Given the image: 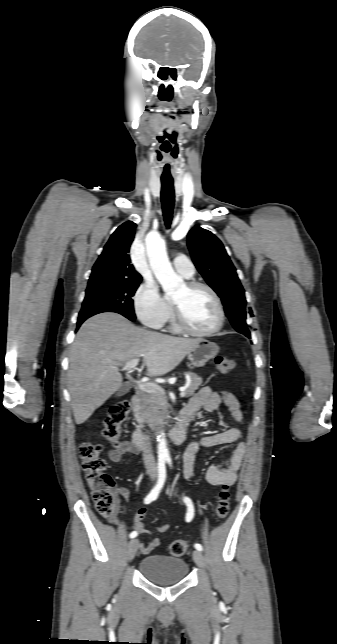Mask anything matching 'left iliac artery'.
<instances>
[{
  "mask_svg": "<svg viewBox=\"0 0 337 644\" xmlns=\"http://www.w3.org/2000/svg\"><path fill=\"white\" fill-rule=\"evenodd\" d=\"M167 462L171 465V460H170V459H167ZM183 500H184V502H185V504L187 505V508H188V510H187V514H186V521H187V522H190V521L193 519V517H194V506H193V502H192V500H191L189 497H184V498H183ZM194 547H195V549H197V550H199V551H202V550H203L202 545H201V544H199V543H196V544L194 545Z\"/></svg>",
  "mask_w": 337,
  "mask_h": 644,
  "instance_id": "left-iliac-artery-1",
  "label": "left iliac artery"
}]
</instances>
